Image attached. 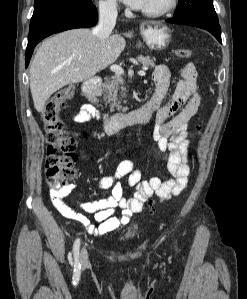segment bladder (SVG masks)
Here are the masks:
<instances>
[{"label":"bladder","mask_w":247,"mask_h":299,"mask_svg":"<svg viewBox=\"0 0 247 299\" xmlns=\"http://www.w3.org/2000/svg\"><path fill=\"white\" fill-rule=\"evenodd\" d=\"M137 234V229L132 228L126 233V238H133Z\"/></svg>","instance_id":"obj_1"}]
</instances>
